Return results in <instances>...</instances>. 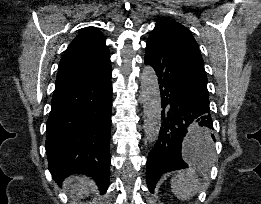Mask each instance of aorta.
I'll return each mask as SVG.
<instances>
[{
	"instance_id": "1",
	"label": "aorta",
	"mask_w": 261,
	"mask_h": 204,
	"mask_svg": "<svg viewBox=\"0 0 261 204\" xmlns=\"http://www.w3.org/2000/svg\"><path fill=\"white\" fill-rule=\"evenodd\" d=\"M141 89L145 134L150 142H156L161 128V95L156 72L150 65L143 68Z\"/></svg>"
}]
</instances>
